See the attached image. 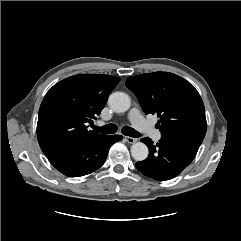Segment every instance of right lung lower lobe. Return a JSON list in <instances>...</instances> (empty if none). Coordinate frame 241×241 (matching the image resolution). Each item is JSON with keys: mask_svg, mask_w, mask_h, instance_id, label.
Instances as JSON below:
<instances>
[{"mask_svg": "<svg viewBox=\"0 0 241 241\" xmlns=\"http://www.w3.org/2000/svg\"><path fill=\"white\" fill-rule=\"evenodd\" d=\"M120 135H101L90 141L57 148L47 154L50 163L68 177H80L100 168L110 147L121 140Z\"/></svg>", "mask_w": 241, "mask_h": 241, "instance_id": "right-lung-lower-lobe-1", "label": "right lung lower lobe"}]
</instances>
